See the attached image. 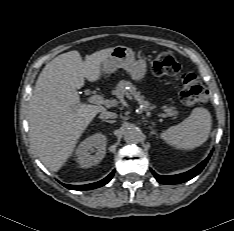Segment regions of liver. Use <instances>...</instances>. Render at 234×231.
Listing matches in <instances>:
<instances>
[{
	"mask_svg": "<svg viewBox=\"0 0 234 231\" xmlns=\"http://www.w3.org/2000/svg\"><path fill=\"white\" fill-rule=\"evenodd\" d=\"M113 48L82 60L76 50L50 61L40 73L29 103L30 141L41 162L57 172L72 155L80 137L103 106L79 101L77 89L101 76V64Z\"/></svg>",
	"mask_w": 234,
	"mask_h": 231,
	"instance_id": "1",
	"label": "liver"
}]
</instances>
